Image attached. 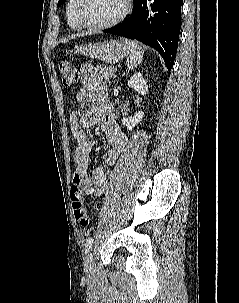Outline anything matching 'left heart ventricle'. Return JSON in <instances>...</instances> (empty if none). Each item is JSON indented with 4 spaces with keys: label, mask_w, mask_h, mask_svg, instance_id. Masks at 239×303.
I'll list each match as a JSON object with an SVG mask.
<instances>
[{
    "label": "left heart ventricle",
    "mask_w": 239,
    "mask_h": 303,
    "mask_svg": "<svg viewBox=\"0 0 239 303\" xmlns=\"http://www.w3.org/2000/svg\"><path fill=\"white\" fill-rule=\"evenodd\" d=\"M124 9V0H82V19L91 24L105 23L116 18Z\"/></svg>",
    "instance_id": "1"
}]
</instances>
